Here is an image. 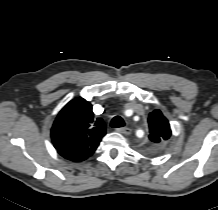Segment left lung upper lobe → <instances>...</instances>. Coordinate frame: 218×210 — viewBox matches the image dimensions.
<instances>
[{"label":"left lung upper lobe","mask_w":218,"mask_h":210,"mask_svg":"<svg viewBox=\"0 0 218 210\" xmlns=\"http://www.w3.org/2000/svg\"><path fill=\"white\" fill-rule=\"evenodd\" d=\"M149 139L153 143L164 142L171 136V129L168 120L160 110H154L149 114Z\"/></svg>","instance_id":"left-lung-upper-lobe-1"}]
</instances>
